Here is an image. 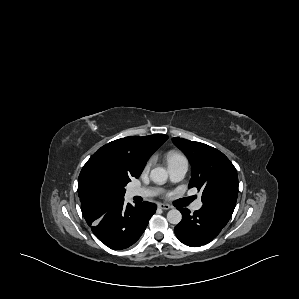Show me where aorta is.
I'll use <instances>...</instances> for the list:
<instances>
[{
	"label": "aorta",
	"instance_id": "aorta-1",
	"mask_svg": "<svg viewBox=\"0 0 299 299\" xmlns=\"http://www.w3.org/2000/svg\"><path fill=\"white\" fill-rule=\"evenodd\" d=\"M150 178L153 182L157 184H163L168 178L167 171L162 167H156L151 170ZM167 220L171 224H178L182 220V214L177 209H172L167 213Z\"/></svg>",
	"mask_w": 299,
	"mask_h": 299
}]
</instances>
